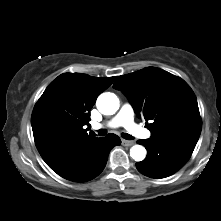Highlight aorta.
<instances>
[{"label":"aorta","instance_id":"aorta-1","mask_svg":"<svg viewBox=\"0 0 221 221\" xmlns=\"http://www.w3.org/2000/svg\"><path fill=\"white\" fill-rule=\"evenodd\" d=\"M98 110L105 115H112L119 109V99L114 93H102L96 102ZM130 156L135 161H142L146 157V149L141 145H134L130 149Z\"/></svg>","mask_w":221,"mask_h":221}]
</instances>
